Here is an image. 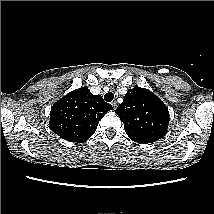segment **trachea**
Masks as SVG:
<instances>
[{
    "instance_id": "trachea-1",
    "label": "trachea",
    "mask_w": 214,
    "mask_h": 214,
    "mask_svg": "<svg viewBox=\"0 0 214 214\" xmlns=\"http://www.w3.org/2000/svg\"><path fill=\"white\" fill-rule=\"evenodd\" d=\"M104 99L107 102H111L114 99V94L112 92H108L104 95Z\"/></svg>"
}]
</instances>
